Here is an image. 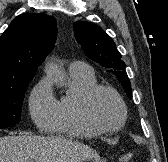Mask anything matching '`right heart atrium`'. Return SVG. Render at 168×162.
Here are the masks:
<instances>
[{
    "label": "right heart atrium",
    "instance_id": "1",
    "mask_svg": "<svg viewBox=\"0 0 168 162\" xmlns=\"http://www.w3.org/2000/svg\"><path fill=\"white\" fill-rule=\"evenodd\" d=\"M29 111L38 128L50 129L57 118L58 103L48 78L41 79L29 97Z\"/></svg>",
    "mask_w": 168,
    "mask_h": 162
}]
</instances>
